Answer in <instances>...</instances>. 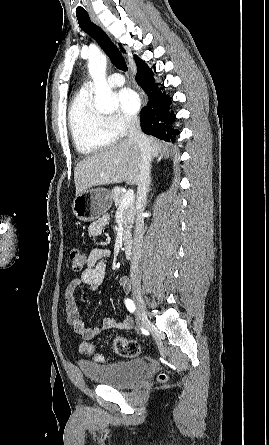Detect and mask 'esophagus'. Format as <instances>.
I'll list each match as a JSON object with an SVG mask.
<instances>
[{"label": "esophagus", "mask_w": 269, "mask_h": 445, "mask_svg": "<svg viewBox=\"0 0 269 445\" xmlns=\"http://www.w3.org/2000/svg\"><path fill=\"white\" fill-rule=\"evenodd\" d=\"M91 19H92V21H93L95 24H97L98 26H100L102 29L105 30V28L103 27L101 21L99 20V18H98L96 15H91ZM139 94H140V96H141L142 103H143V105L145 106V105H146V94H145V92H144L142 89H140V88H139Z\"/></svg>", "instance_id": "34e87169"}]
</instances>
